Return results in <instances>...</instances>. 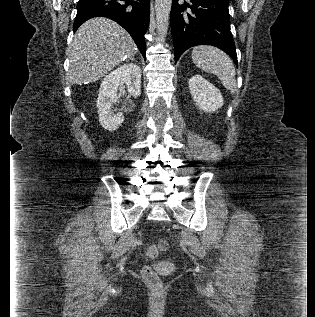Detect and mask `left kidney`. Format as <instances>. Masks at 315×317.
Listing matches in <instances>:
<instances>
[{"mask_svg": "<svg viewBox=\"0 0 315 317\" xmlns=\"http://www.w3.org/2000/svg\"><path fill=\"white\" fill-rule=\"evenodd\" d=\"M188 83L190 94L199 110L215 112L222 107L223 98L219 89L201 75H193Z\"/></svg>", "mask_w": 315, "mask_h": 317, "instance_id": "5707ae66", "label": "left kidney"}]
</instances>
